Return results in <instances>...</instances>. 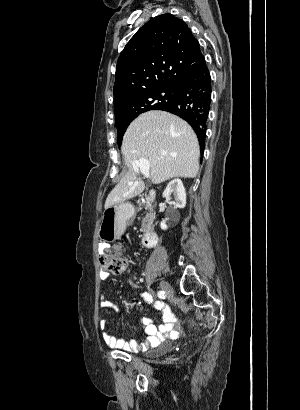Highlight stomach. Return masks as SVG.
Returning a JSON list of instances; mask_svg holds the SVG:
<instances>
[{
	"mask_svg": "<svg viewBox=\"0 0 300 410\" xmlns=\"http://www.w3.org/2000/svg\"><path fill=\"white\" fill-rule=\"evenodd\" d=\"M134 214V207L130 203H119L104 210L99 229V237L103 241L118 239Z\"/></svg>",
	"mask_w": 300,
	"mask_h": 410,
	"instance_id": "obj_1",
	"label": "stomach"
}]
</instances>
